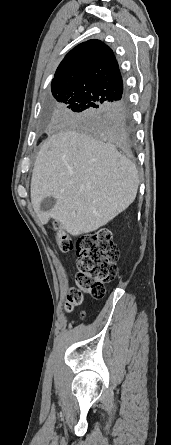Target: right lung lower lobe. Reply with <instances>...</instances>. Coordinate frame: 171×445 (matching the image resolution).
I'll return each instance as SVG.
<instances>
[{
  "mask_svg": "<svg viewBox=\"0 0 171 445\" xmlns=\"http://www.w3.org/2000/svg\"><path fill=\"white\" fill-rule=\"evenodd\" d=\"M98 126L106 140L116 143L123 148L129 147L130 138L126 97L118 101H108L98 116Z\"/></svg>",
  "mask_w": 171,
  "mask_h": 445,
  "instance_id": "98d812e1",
  "label": "right lung lower lobe"
}]
</instances>
